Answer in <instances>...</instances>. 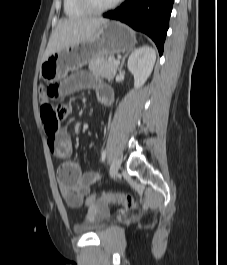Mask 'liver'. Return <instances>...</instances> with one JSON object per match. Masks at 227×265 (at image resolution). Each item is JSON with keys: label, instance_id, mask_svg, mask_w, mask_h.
<instances>
[{"label": "liver", "instance_id": "obj_1", "mask_svg": "<svg viewBox=\"0 0 227 265\" xmlns=\"http://www.w3.org/2000/svg\"><path fill=\"white\" fill-rule=\"evenodd\" d=\"M107 19L101 17H78L61 19L50 36L42 62L56 51L75 46L91 39Z\"/></svg>", "mask_w": 227, "mask_h": 265}]
</instances>
